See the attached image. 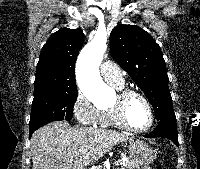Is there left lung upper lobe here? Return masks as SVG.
Segmentation results:
<instances>
[{"mask_svg":"<svg viewBox=\"0 0 200 169\" xmlns=\"http://www.w3.org/2000/svg\"><path fill=\"white\" fill-rule=\"evenodd\" d=\"M113 59L146 94L156 118L176 121L163 54L155 40L134 25H119L110 34Z\"/></svg>","mask_w":200,"mask_h":169,"instance_id":"obj_1","label":"left lung upper lobe"}]
</instances>
